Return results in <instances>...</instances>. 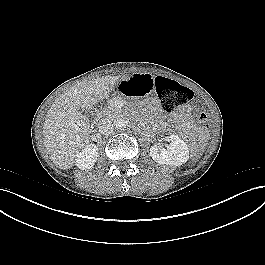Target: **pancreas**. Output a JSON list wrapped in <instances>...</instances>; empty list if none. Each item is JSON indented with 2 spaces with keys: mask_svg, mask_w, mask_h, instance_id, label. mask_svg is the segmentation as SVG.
Masks as SVG:
<instances>
[{
  "mask_svg": "<svg viewBox=\"0 0 265 265\" xmlns=\"http://www.w3.org/2000/svg\"><path fill=\"white\" fill-rule=\"evenodd\" d=\"M118 100H121V97H114L109 101L108 107L104 111V115L116 117L122 114V109L116 105Z\"/></svg>",
  "mask_w": 265,
  "mask_h": 265,
  "instance_id": "pancreas-1",
  "label": "pancreas"
}]
</instances>
